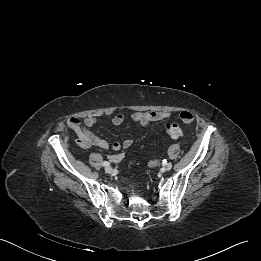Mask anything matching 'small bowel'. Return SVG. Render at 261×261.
Returning a JSON list of instances; mask_svg holds the SVG:
<instances>
[{
    "label": "small bowel",
    "mask_w": 261,
    "mask_h": 261,
    "mask_svg": "<svg viewBox=\"0 0 261 261\" xmlns=\"http://www.w3.org/2000/svg\"><path fill=\"white\" fill-rule=\"evenodd\" d=\"M172 113L169 111H136L131 114V119L143 126H150L153 122L162 121L171 117ZM180 120L183 124H190L194 120V115L190 111H182L179 114ZM98 121L96 116H87L83 122L78 118H70L68 126L77 134L78 144L82 147H98L102 149L108 148L109 144L106 140L100 138L91 132L88 128L93 126ZM125 122V116L118 113L112 117V123L115 126H120ZM132 139H125L122 143L114 142L112 149L119 151L122 148L126 149L132 145ZM122 158L120 154L111 156L113 161H119Z\"/></svg>",
    "instance_id": "1"
}]
</instances>
